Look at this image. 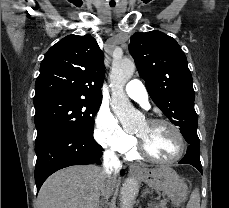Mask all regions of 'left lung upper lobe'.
<instances>
[{"mask_svg":"<svg viewBox=\"0 0 229 208\" xmlns=\"http://www.w3.org/2000/svg\"><path fill=\"white\" fill-rule=\"evenodd\" d=\"M130 39L129 51L153 102L181 133L197 130L192 75L176 40L157 30Z\"/></svg>","mask_w":229,"mask_h":208,"instance_id":"left-lung-upper-lobe-1","label":"left lung upper lobe"}]
</instances>
